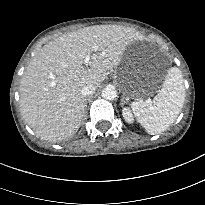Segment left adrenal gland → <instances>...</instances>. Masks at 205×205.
I'll use <instances>...</instances> for the list:
<instances>
[{"label":"left adrenal gland","mask_w":205,"mask_h":205,"mask_svg":"<svg viewBox=\"0 0 205 205\" xmlns=\"http://www.w3.org/2000/svg\"><path fill=\"white\" fill-rule=\"evenodd\" d=\"M126 103V101H125V98L124 97H122V99H121V106H123L124 104Z\"/></svg>","instance_id":"1"}]
</instances>
